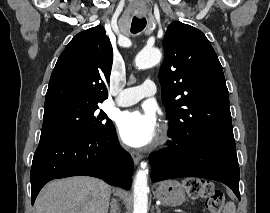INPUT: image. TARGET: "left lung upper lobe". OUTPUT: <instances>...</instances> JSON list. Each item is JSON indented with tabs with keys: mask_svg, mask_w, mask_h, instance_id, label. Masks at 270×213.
<instances>
[{
	"mask_svg": "<svg viewBox=\"0 0 270 213\" xmlns=\"http://www.w3.org/2000/svg\"><path fill=\"white\" fill-rule=\"evenodd\" d=\"M163 47L159 80L162 102L174 126L172 134L177 138L194 132L233 135L222 66L206 36L175 21L168 26Z\"/></svg>",
	"mask_w": 270,
	"mask_h": 213,
	"instance_id": "obj_1",
	"label": "left lung upper lobe"
}]
</instances>
